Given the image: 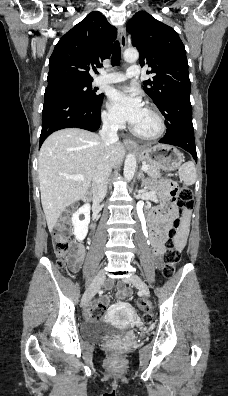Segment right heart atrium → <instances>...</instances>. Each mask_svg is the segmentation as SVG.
<instances>
[{
  "instance_id": "1",
  "label": "right heart atrium",
  "mask_w": 228,
  "mask_h": 396,
  "mask_svg": "<svg viewBox=\"0 0 228 396\" xmlns=\"http://www.w3.org/2000/svg\"><path fill=\"white\" fill-rule=\"evenodd\" d=\"M102 119H103L104 124L110 128L117 129L121 126L120 122L117 121L110 113H108L106 111L103 112Z\"/></svg>"
}]
</instances>
